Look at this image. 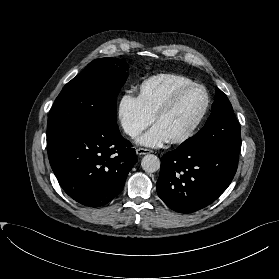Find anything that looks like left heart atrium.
Instances as JSON below:
<instances>
[{
	"label": "left heart atrium",
	"mask_w": 279,
	"mask_h": 279,
	"mask_svg": "<svg viewBox=\"0 0 279 279\" xmlns=\"http://www.w3.org/2000/svg\"><path fill=\"white\" fill-rule=\"evenodd\" d=\"M168 139L163 129L156 124L148 132L139 137L137 142L149 147H160L167 142Z\"/></svg>",
	"instance_id": "obj_1"
}]
</instances>
